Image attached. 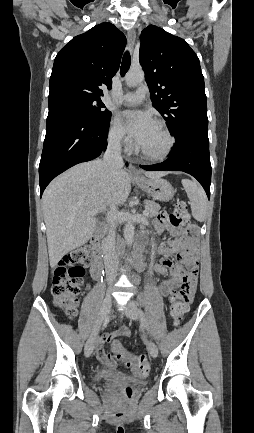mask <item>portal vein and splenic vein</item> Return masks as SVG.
Wrapping results in <instances>:
<instances>
[{
    "mask_svg": "<svg viewBox=\"0 0 254 433\" xmlns=\"http://www.w3.org/2000/svg\"><path fill=\"white\" fill-rule=\"evenodd\" d=\"M99 211H100V212H101V211H104V209L93 210L92 213H96V212H99ZM143 215H144V216H147V215H148V210H147V209H145V210L143 211Z\"/></svg>",
    "mask_w": 254,
    "mask_h": 433,
    "instance_id": "18ae733b",
    "label": "portal vein and splenic vein"
}]
</instances>
